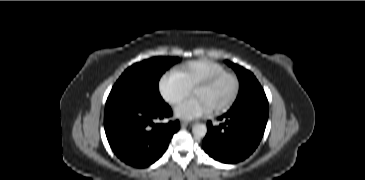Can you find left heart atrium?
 I'll return each mask as SVG.
<instances>
[{"mask_svg":"<svg viewBox=\"0 0 365 180\" xmlns=\"http://www.w3.org/2000/svg\"><path fill=\"white\" fill-rule=\"evenodd\" d=\"M193 113H199V114H201V113H205L206 112V109L204 108V107H194V108H192V110H191Z\"/></svg>","mask_w":365,"mask_h":180,"instance_id":"left-heart-atrium-1","label":"left heart atrium"}]
</instances>
